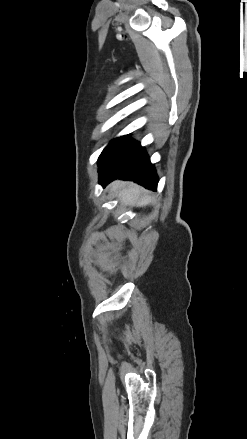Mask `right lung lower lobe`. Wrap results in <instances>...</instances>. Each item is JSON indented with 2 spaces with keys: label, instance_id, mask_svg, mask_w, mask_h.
I'll return each instance as SVG.
<instances>
[{
  "label": "right lung lower lobe",
  "instance_id": "98d812e1",
  "mask_svg": "<svg viewBox=\"0 0 247 439\" xmlns=\"http://www.w3.org/2000/svg\"><path fill=\"white\" fill-rule=\"evenodd\" d=\"M132 180L145 188L156 190L158 177L153 164L139 142L131 140L112 153L99 169V183L106 186L115 179Z\"/></svg>",
  "mask_w": 247,
  "mask_h": 439
}]
</instances>
